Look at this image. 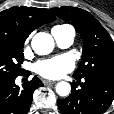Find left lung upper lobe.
Instances as JSON below:
<instances>
[{
	"label": "left lung upper lobe",
	"mask_w": 114,
	"mask_h": 114,
	"mask_svg": "<svg viewBox=\"0 0 114 114\" xmlns=\"http://www.w3.org/2000/svg\"><path fill=\"white\" fill-rule=\"evenodd\" d=\"M51 11L74 25L82 37V60L73 76L114 78V42L95 17L83 9L69 6L52 8Z\"/></svg>",
	"instance_id": "5c2ea615"
}]
</instances>
